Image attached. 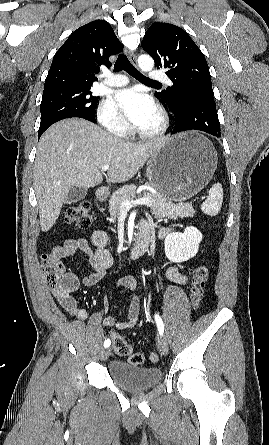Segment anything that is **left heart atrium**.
<instances>
[{
    "label": "left heart atrium",
    "instance_id": "obj_1",
    "mask_svg": "<svg viewBox=\"0 0 269 445\" xmlns=\"http://www.w3.org/2000/svg\"><path fill=\"white\" fill-rule=\"evenodd\" d=\"M115 98L126 117L138 128L157 113L153 99L138 88L120 90Z\"/></svg>",
    "mask_w": 269,
    "mask_h": 445
}]
</instances>
